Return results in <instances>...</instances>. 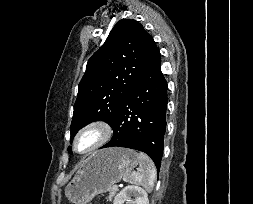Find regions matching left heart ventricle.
Returning <instances> with one entry per match:
<instances>
[{"instance_id":"1","label":"left heart ventricle","mask_w":253,"mask_h":204,"mask_svg":"<svg viewBox=\"0 0 253 204\" xmlns=\"http://www.w3.org/2000/svg\"><path fill=\"white\" fill-rule=\"evenodd\" d=\"M98 138V133L96 131H89L82 135L77 143V148L79 151H84L90 147Z\"/></svg>"}]
</instances>
